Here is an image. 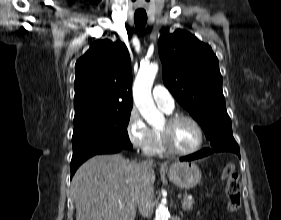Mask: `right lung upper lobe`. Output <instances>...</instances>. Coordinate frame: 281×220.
Returning a JSON list of instances; mask_svg holds the SVG:
<instances>
[{"label":"right lung upper lobe","mask_w":281,"mask_h":220,"mask_svg":"<svg viewBox=\"0 0 281 220\" xmlns=\"http://www.w3.org/2000/svg\"><path fill=\"white\" fill-rule=\"evenodd\" d=\"M75 69L74 118L132 109L130 56L122 42H95Z\"/></svg>","instance_id":"cb5924a9"}]
</instances>
